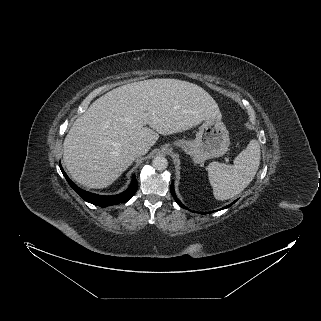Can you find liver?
<instances>
[{
    "mask_svg": "<svg viewBox=\"0 0 321 321\" xmlns=\"http://www.w3.org/2000/svg\"><path fill=\"white\" fill-rule=\"evenodd\" d=\"M221 117L215 100L196 84L178 79L126 84L95 100L75 120L63 143L64 163L76 182L106 188L137 158L133 146L151 147L159 134Z\"/></svg>",
    "mask_w": 321,
    "mask_h": 321,
    "instance_id": "1",
    "label": "liver"
}]
</instances>
